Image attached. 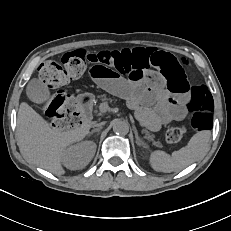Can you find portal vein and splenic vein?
Wrapping results in <instances>:
<instances>
[{"label": "portal vein and splenic vein", "instance_id": "obj_1", "mask_svg": "<svg viewBox=\"0 0 231 231\" xmlns=\"http://www.w3.org/2000/svg\"><path fill=\"white\" fill-rule=\"evenodd\" d=\"M109 110V104L107 102L101 103L99 106V111L105 113Z\"/></svg>", "mask_w": 231, "mask_h": 231}]
</instances>
